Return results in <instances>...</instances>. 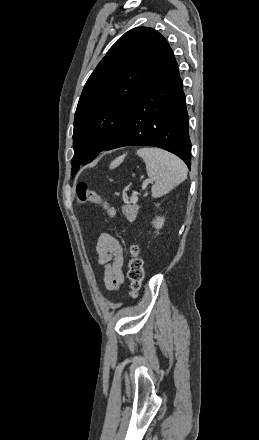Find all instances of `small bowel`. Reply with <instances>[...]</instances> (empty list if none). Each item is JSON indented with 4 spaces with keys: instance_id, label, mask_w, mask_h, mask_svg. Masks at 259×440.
<instances>
[{
    "instance_id": "1",
    "label": "small bowel",
    "mask_w": 259,
    "mask_h": 440,
    "mask_svg": "<svg viewBox=\"0 0 259 440\" xmlns=\"http://www.w3.org/2000/svg\"><path fill=\"white\" fill-rule=\"evenodd\" d=\"M97 262L103 266V280L110 291L117 290L124 282V250L119 240L110 233H102L96 244Z\"/></svg>"
}]
</instances>
